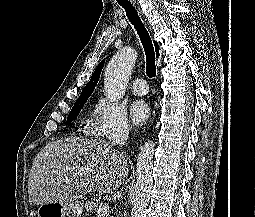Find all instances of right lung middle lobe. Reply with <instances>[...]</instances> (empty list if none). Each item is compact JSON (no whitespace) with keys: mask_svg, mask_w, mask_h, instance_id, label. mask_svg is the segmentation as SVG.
<instances>
[{"mask_svg":"<svg viewBox=\"0 0 255 217\" xmlns=\"http://www.w3.org/2000/svg\"><path fill=\"white\" fill-rule=\"evenodd\" d=\"M92 93H87L81 95L78 100L75 102L70 114L68 115L66 125H69L80 113L82 107L86 103L87 99L90 97Z\"/></svg>","mask_w":255,"mask_h":217,"instance_id":"1","label":"right lung middle lobe"}]
</instances>
